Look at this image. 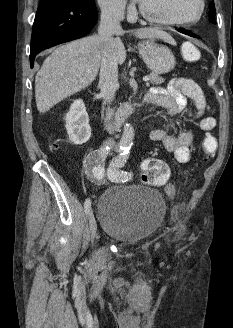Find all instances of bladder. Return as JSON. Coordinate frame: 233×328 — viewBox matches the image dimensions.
Wrapping results in <instances>:
<instances>
[{
    "label": "bladder",
    "mask_w": 233,
    "mask_h": 328,
    "mask_svg": "<svg viewBox=\"0 0 233 328\" xmlns=\"http://www.w3.org/2000/svg\"><path fill=\"white\" fill-rule=\"evenodd\" d=\"M165 201L153 189L139 185L112 186L97 206L99 225L107 236L126 243L143 240L161 225Z\"/></svg>",
    "instance_id": "1"
}]
</instances>
